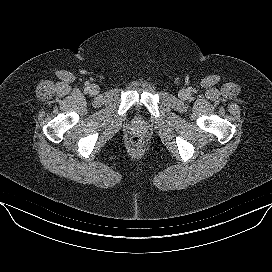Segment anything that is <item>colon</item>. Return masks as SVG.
Instances as JSON below:
<instances>
[{
    "mask_svg": "<svg viewBox=\"0 0 272 272\" xmlns=\"http://www.w3.org/2000/svg\"><path fill=\"white\" fill-rule=\"evenodd\" d=\"M131 143L134 148H140L143 144L142 140L138 137L133 138Z\"/></svg>",
    "mask_w": 272,
    "mask_h": 272,
    "instance_id": "1",
    "label": "colon"
}]
</instances>
